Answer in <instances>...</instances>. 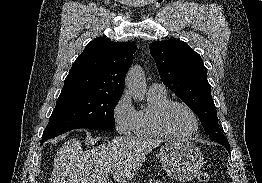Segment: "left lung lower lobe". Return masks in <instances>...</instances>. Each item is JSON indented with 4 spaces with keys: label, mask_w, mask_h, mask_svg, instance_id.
<instances>
[{
    "label": "left lung lower lobe",
    "mask_w": 262,
    "mask_h": 183,
    "mask_svg": "<svg viewBox=\"0 0 262 183\" xmlns=\"http://www.w3.org/2000/svg\"><path fill=\"white\" fill-rule=\"evenodd\" d=\"M217 143L223 145V146L228 150V152H230V145H229V143H228V140L219 141V142H217Z\"/></svg>",
    "instance_id": "1"
}]
</instances>
